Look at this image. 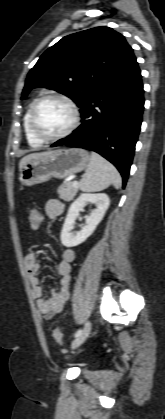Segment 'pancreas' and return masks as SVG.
Here are the masks:
<instances>
[{
  "label": "pancreas",
  "mask_w": 165,
  "mask_h": 419,
  "mask_svg": "<svg viewBox=\"0 0 165 419\" xmlns=\"http://www.w3.org/2000/svg\"><path fill=\"white\" fill-rule=\"evenodd\" d=\"M57 192L62 200L71 201L78 192V186H73V182H63Z\"/></svg>",
  "instance_id": "obj_1"
}]
</instances>
